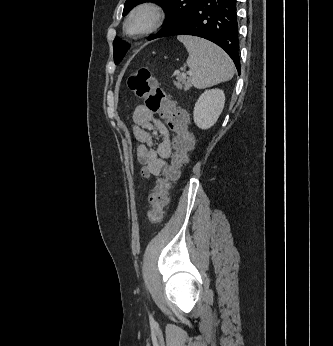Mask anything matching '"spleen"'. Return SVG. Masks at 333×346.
I'll use <instances>...</instances> for the list:
<instances>
[{
  "mask_svg": "<svg viewBox=\"0 0 333 346\" xmlns=\"http://www.w3.org/2000/svg\"><path fill=\"white\" fill-rule=\"evenodd\" d=\"M188 53L187 65L192 71V84L198 89L230 80L234 65L229 56L217 45L191 36H179Z\"/></svg>",
  "mask_w": 333,
  "mask_h": 346,
  "instance_id": "1",
  "label": "spleen"
}]
</instances>
